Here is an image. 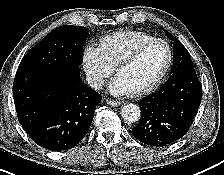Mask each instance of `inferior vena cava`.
Returning <instances> with one entry per match:
<instances>
[{
  "mask_svg": "<svg viewBox=\"0 0 224 175\" xmlns=\"http://www.w3.org/2000/svg\"><path fill=\"white\" fill-rule=\"evenodd\" d=\"M86 80L90 87L94 89H101L103 86V79L99 75L88 74Z\"/></svg>",
  "mask_w": 224,
  "mask_h": 175,
  "instance_id": "1",
  "label": "inferior vena cava"
}]
</instances>
